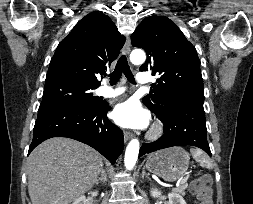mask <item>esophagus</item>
Returning <instances> with one entry per match:
<instances>
[{
    "mask_svg": "<svg viewBox=\"0 0 253 204\" xmlns=\"http://www.w3.org/2000/svg\"><path fill=\"white\" fill-rule=\"evenodd\" d=\"M130 48H131V42H130V39L127 38L126 42H125V45L122 49V52L125 54V55H128L130 53ZM133 134L130 132V131H125L124 132V140L125 142L129 141L131 138H132Z\"/></svg>",
    "mask_w": 253,
    "mask_h": 204,
    "instance_id": "obj_1",
    "label": "esophagus"
}]
</instances>
